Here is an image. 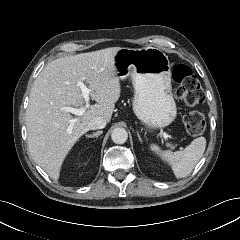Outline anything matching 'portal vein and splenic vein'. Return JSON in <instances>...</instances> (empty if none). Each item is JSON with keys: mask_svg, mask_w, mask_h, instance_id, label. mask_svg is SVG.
Segmentation results:
<instances>
[{"mask_svg": "<svg viewBox=\"0 0 240 240\" xmlns=\"http://www.w3.org/2000/svg\"><path fill=\"white\" fill-rule=\"evenodd\" d=\"M77 85L79 86V88L81 89L82 92V96L86 102L85 107L84 108H73V107H64L63 110L70 112L72 114L81 116L84 114V112L86 111V109L90 106L89 105V95L93 92L92 89L88 88L82 81H78ZM76 122L75 119H72L70 121V125H73ZM162 136L165 140H167L170 136L165 132L162 131Z\"/></svg>", "mask_w": 240, "mask_h": 240, "instance_id": "1", "label": "portal vein and splenic vein"}]
</instances>
